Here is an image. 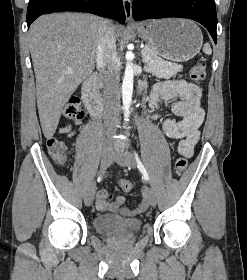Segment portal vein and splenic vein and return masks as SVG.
Here are the masks:
<instances>
[{"label":"portal vein and splenic vein","instance_id":"18ae733b","mask_svg":"<svg viewBox=\"0 0 247 280\" xmlns=\"http://www.w3.org/2000/svg\"><path fill=\"white\" fill-rule=\"evenodd\" d=\"M142 56H143V62L149 61V57H146L144 53H142Z\"/></svg>","mask_w":247,"mask_h":280}]
</instances>
